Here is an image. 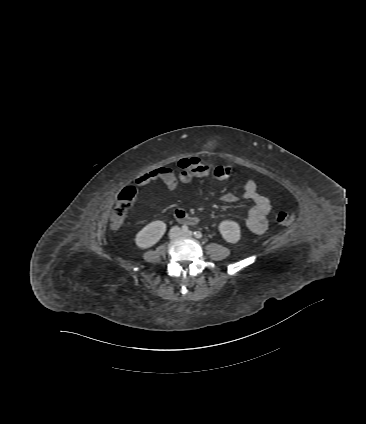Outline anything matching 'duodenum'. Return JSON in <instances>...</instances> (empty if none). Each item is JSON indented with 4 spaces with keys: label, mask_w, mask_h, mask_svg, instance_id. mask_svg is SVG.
<instances>
[{
    "label": "duodenum",
    "mask_w": 366,
    "mask_h": 424,
    "mask_svg": "<svg viewBox=\"0 0 366 424\" xmlns=\"http://www.w3.org/2000/svg\"><path fill=\"white\" fill-rule=\"evenodd\" d=\"M174 216L176 220L179 221L180 223H196L197 222L196 218L189 216L185 211L181 209H177L174 213Z\"/></svg>",
    "instance_id": "410a0bca"
}]
</instances>
